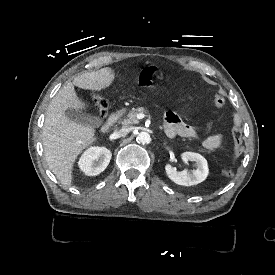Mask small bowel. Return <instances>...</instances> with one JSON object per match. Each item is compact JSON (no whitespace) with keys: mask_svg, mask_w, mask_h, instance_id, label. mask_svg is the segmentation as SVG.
Wrapping results in <instances>:
<instances>
[{"mask_svg":"<svg viewBox=\"0 0 275 275\" xmlns=\"http://www.w3.org/2000/svg\"><path fill=\"white\" fill-rule=\"evenodd\" d=\"M163 69L155 65H149L141 69L138 77V85L144 90L151 88V78L161 76ZM233 120L239 124L240 118L238 114H233ZM165 132L169 137L179 135L185 138L197 139V132L200 128L186 124L176 113L170 112L166 116ZM222 136L215 134L202 142V146L209 151H215L222 147Z\"/></svg>","mask_w":275,"mask_h":275,"instance_id":"obj_1","label":"small bowel"}]
</instances>
